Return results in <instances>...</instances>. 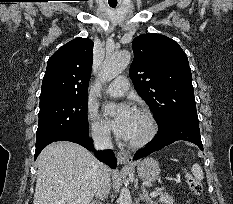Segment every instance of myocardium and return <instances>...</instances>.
I'll return each instance as SVG.
<instances>
[{
    "mask_svg": "<svg viewBox=\"0 0 233 204\" xmlns=\"http://www.w3.org/2000/svg\"><path fill=\"white\" fill-rule=\"evenodd\" d=\"M135 112L143 115L148 125V130L142 138L134 141L127 140V144L129 147L138 149L145 147L155 138L158 132V126L155 116L149 109L144 107H138L135 109Z\"/></svg>",
    "mask_w": 233,
    "mask_h": 204,
    "instance_id": "f54148a6",
    "label": "myocardium"
}]
</instances>
